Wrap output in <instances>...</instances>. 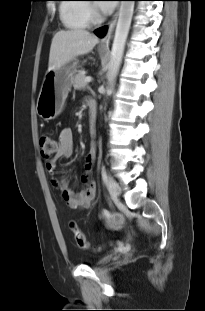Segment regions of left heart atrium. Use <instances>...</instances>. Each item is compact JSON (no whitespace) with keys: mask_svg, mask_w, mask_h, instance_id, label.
<instances>
[{"mask_svg":"<svg viewBox=\"0 0 205 311\" xmlns=\"http://www.w3.org/2000/svg\"><path fill=\"white\" fill-rule=\"evenodd\" d=\"M100 7L104 13H110L113 9V4L110 2H104L100 5Z\"/></svg>","mask_w":205,"mask_h":311,"instance_id":"left-heart-atrium-1","label":"left heart atrium"}]
</instances>
